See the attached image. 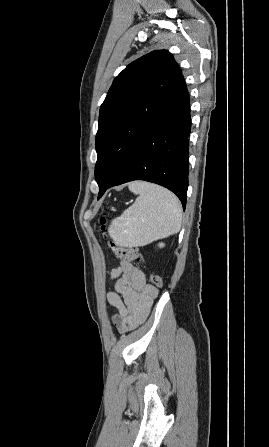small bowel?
Here are the masks:
<instances>
[{
  "instance_id": "1",
  "label": "small bowel",
  "mask_w": 269,
  "mask_h": 447,
  "mask_svg": "<svg viewBox=\"0 0 269 447\" xmlns=\"http://www.w3.org/2000/svg\"><path fill=\"white\" fill-rule=\"evenodd\" d=\"M115 292H108L109 303L118 313L113 317L116 326L124 330L135 328L147 318L158 296V289L146 281L145 274L128 261H121L111 271Z\"/></svg>"
}]
</instances>
